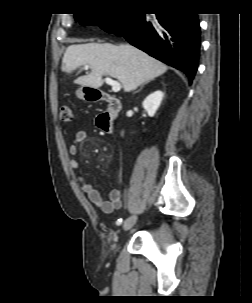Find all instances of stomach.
I'll return each mask as SVG.
<instances>
[{"label":"stomach","mask_w":252,"mask_h":303,"mask_svg":"<svg viewBox=\"0 0 252 303\" xmlns=\"http://www.w3.org/2000/svg\"><path fill=\"white\" fill-rule=\"evenodd\" d=\"M87 94V87H81L80 89H78L76 91V95L80 98L85 100L86 99V95Z\"/></svg>","instance_id":"1"}]
</instances>
